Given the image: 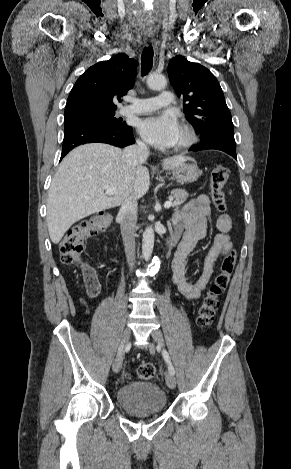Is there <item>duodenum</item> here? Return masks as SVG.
<instances>
[{
  "mask_svg": "<svg viewBox=\"0 0 291 469\" xmlns=\"http://www.w3.org/2000/svg\"><path fill=\"white\" fill-rule=\"evenodd\" d=\"M177 235L178 234L176 233V231H174L168 236L166 241L167 247H172L174 245L177 239Z\"/></svg>",
  "mask_w": 291,
  "mask_h": 469,
  "instance_id": "410a0bca",
  "label": "duodenum"
}]
</instances>
